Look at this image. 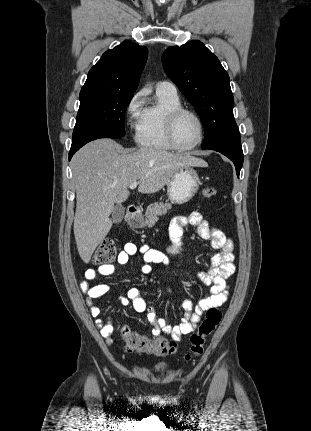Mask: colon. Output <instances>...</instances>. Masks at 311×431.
<instances>
[{
  "label": "colon",
  "mask_w": 311,
  "mask_h": 431,
  "mask_svg": "<svg viewBox=\"0 0 311 431\" xmlns=\"http://www.w3.org/2000/svg\"><path fill=\"white\" fill-rule=\"evenodd\" d=\"M216 194L217 191L213 187H204L202 190V196L205 199H211ZM116 254L117 250L114 241L106 238L97 247L93 260L96 264H109L115 260ZM221 318L222 313L220 310L217 308L208 309L205 319L199 325L197 331L190 336V351L186 355V360H193L203 353L206 338L216 329ZM122 338L125 348L129 352L164 356L171 354L175 350L174 343L164 338H148L127 326L122 328Z\"/></svg>",
  "instance_id": "1"
}]
</instances>
